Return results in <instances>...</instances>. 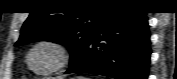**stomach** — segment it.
I'll return each instance as SVG.
<instances>
[{
	"label": "stomach",
	"instance_id": "0dacf381",
	"mask_svg": "<svg viewBox=\"0 0 177 79\" xmlns=\"http://www.w3.org/2000/svg\"><path fill=\"white\" fill-rule=\"evenodd\" d=\"M74 79H84L83 77H75Z\"/></svg>",
	"mask_w": 177,
	"mask_h": 79
}]
</instances>
